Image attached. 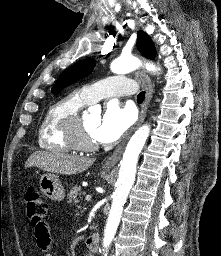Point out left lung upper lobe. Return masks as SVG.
Instances as JSON below:
<instances>
[{
  "mask_svg": "<svg viewBox=\"0 0 221 256\" xmlns=\"http://www.w3.org/2000/svg\"><path fill=\"white\" fill-rule=\"evenodd\" d=\"M137 48L147 58L154 59L156 56L155 46L150 37L142 30L137 32ZM95 59L87 58L81 60L62 72L51 92L54 94L61 91L64 87L88 76L94 69Z\"/></svg>",
  "mask_w": 221,
  "mask_h": 256,
  "instance_id": "left-lung-upper-lobe-1",
  "label": "left lung upper lobe"
}]
</instances>
